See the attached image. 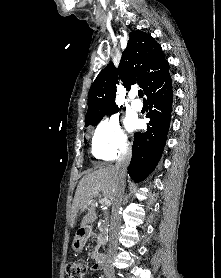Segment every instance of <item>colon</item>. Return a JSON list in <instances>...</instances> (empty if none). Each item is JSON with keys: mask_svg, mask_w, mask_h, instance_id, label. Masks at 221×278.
I'll return each instance as SVG.
<instances>
[{"mask_svg": "<svg viewBox=\"0 0 221 278\" xmlns=\"http://www.w3.org/2000/svg\"><path fill=\"white\" fill-rule=\"evenodd\" d=\"M90 267L83 260H72L67 265L69 278H85L89 273Z\"/></svg>", "mask_w": 221, "mask_h": 278, "instance_id": "5ec220e1", "label": "colon"}]
</instances>
